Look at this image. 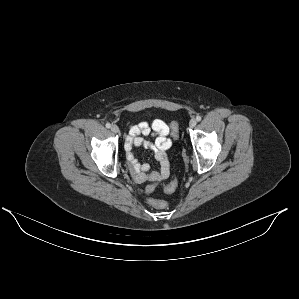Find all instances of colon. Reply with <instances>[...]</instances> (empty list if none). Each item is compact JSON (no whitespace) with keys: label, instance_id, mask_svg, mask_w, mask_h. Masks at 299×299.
Returning a JSON list of instances; mask_svg holds the SVG:
<instances>
[{"label":"colon","instance_id":"obj_1","mask_svg":"<svg viewBox=\"0 0 299 299\" xmlns=\"http://www.w3.org/2000/svg\"><path fill=\"white\" fill-rule=\"evenodd\" d=\"M171 132L174 136H176L177 132H178V123L176 121H174L171 124ZM177 188V182L176 181H171L165 188L164 191L167 194H171L173 193ZM148 203L157 208V209H167L168 208V203L165 200L162 199H155V198H148Z\"/></svg>","mask_w":299,"mask_h":299}]
</instances>
